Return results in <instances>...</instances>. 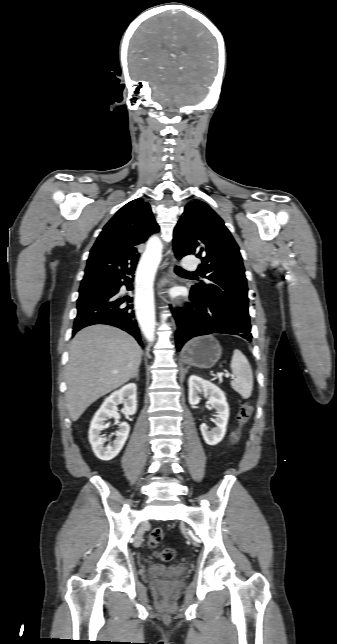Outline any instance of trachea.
Returning a JSON list of instances; mask_svg holds the SVG:
<instances>
[{
	"label": "trachea",
	"instance_id": "1",
	"mask_svg": "<svg viewBox=\"0 0 337 644\" xmlns=\"http://www.w3.org/2000/svg\"><path fill=\"white\" fill-rule=\"evenodd\" d=\"M175 271H177V272H181V273L190 274V275H194V273L187 272V271H185L184 269H182V268H181V267H179V266H176V267H175Z\"/></svg>",
	"mask_w": 337,
	"mask_h": 644
}]
</instances>
